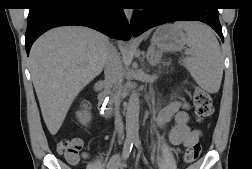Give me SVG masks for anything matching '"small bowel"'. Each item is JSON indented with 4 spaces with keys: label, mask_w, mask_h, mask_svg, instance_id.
<instances>
[{
    "label": "small bowel",
    "mask_w": 252,
    "mask_h": 169,
    "mask_svg": "<svg viewBox=\"0 0 252 169\" xmlns=\"http://www.w3.org/2000/svg\"><path fill=\"white\" fill-rule=\"evenodd\" d=\"M172 118L175 120V125L168 133L169 140L172 144L176 146H189L198 141L200 131L190 129L186 104L179 101L168 103L160 110L157 116V123L160 127H164ZM81 156L84 159L90 157L87 152H82ZM125 165L126 159L116 154L107 162L105 169H122Z\"/></svg>",
    "instance_id": "obj_1"
}]
</instances>
